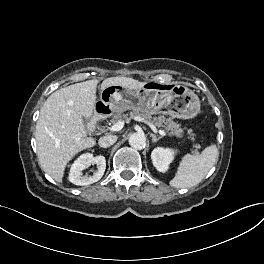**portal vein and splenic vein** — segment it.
<instances>
[{
  "label": "portal vein and splenic vein",
  "instance_id": "portal-vein-and-splenic-vein-1",
  "mask_svg": "<svg viewBox=\"0 0 264 264\" xmlns=\"http://www.w3.org/2000/svg\"><path fill=\"white\" fill-rule=\"evenodd\" d=\"M125 122L124 121H118L117 123L113 124L109 130L112 132L120 131L124 127ZM157 132L162 135L166 136V133L163 130H157Z\"/></svg>",
  "mask_w": 264,
  "mask_h": 264
}]
</instances>
